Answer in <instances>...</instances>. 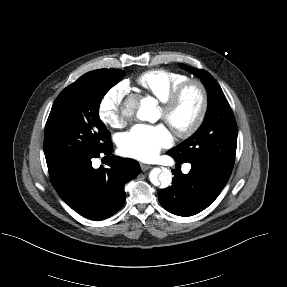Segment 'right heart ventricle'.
Wrapping results in <instances>:
<instances>
[{
  "mask_svg": "<svg viewBox=\"0 0 287 287\" xmlns=\"http://www.w3.org/2000/svg\"><path fill=\"white\" fill-rule=\"evenodd\" d=\"M187 79L181 72L157 69L142 73L136 82L142 90L163 103L171 92Z\"/></svg>",
  "mask_w": 287,
  "mask_h": 287,
  "instance_id": "e07e8e85",
  "label": "right heart ventricle"
}]
</instances>
